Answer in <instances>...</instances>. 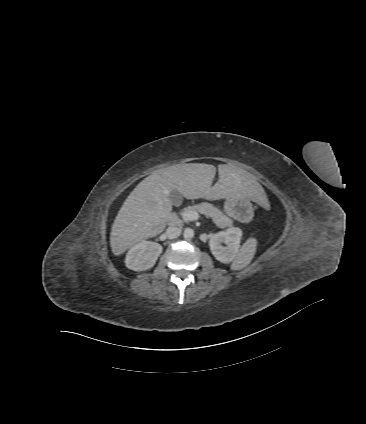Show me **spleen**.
Masks as SVG:
<instances>
[{
    "label": "spleen",
    "mask_w": 366,
    "mask_h": 424,
    "mask_svg": "<svg viewBox=\"0 0 366 424\" xmlns=\"http://www.w3.org/2000/svg\"><path fill=\"white\" fill-rule=\"evenodd\" d=\"M256 247L257 240L255 238H248L237 253L234 262L231 265V269L241 270L249 265L256 252Z\"/></svg>",
    "instance_id": "3e777b00"
}]
</instances>
